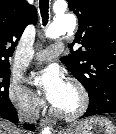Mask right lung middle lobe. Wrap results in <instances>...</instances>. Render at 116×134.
Returning a JSON list of instances; mask_svg holds the SVG:
<instances>
[{
	"instance_id": "obj_1",
	"label": "right lung middle lobe",
	"mask_w": 116,
	"mask_h": 134,
	"mask_svg": "<svg viewBox=\"0 0 116 134\" xmlns=\"http://www.w3.org/2000/svg\"><path fill=\"white\" fill-rule=\"evenodd\" d=\"M10 73L9 67L0 69V112L12 106L8 95Z\"/></svg>"
}]
</instances>
